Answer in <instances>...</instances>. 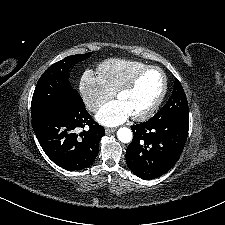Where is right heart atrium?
Wrapping results in <instances>:
<instances>
[{
    "mask_svg": "<svg viewBox=\"0 0 225 225\" xmlns=\"http://www.w3.org/2000/svg\"><path fill=\"white\" fill-rule=\"evenodd\" d=\"M79 89L86 106L93 112L97 111L114 95L103 83L100 76L92 71H85L82 74Z\"/></svg>",
    "mask_w": 225,
    "mask_h": 225,
    "instance_id": "obj_1",
    "label": "right heart atrium"
}]
</instances>
